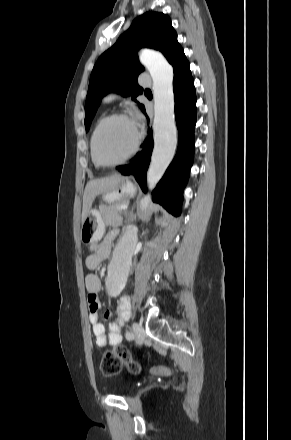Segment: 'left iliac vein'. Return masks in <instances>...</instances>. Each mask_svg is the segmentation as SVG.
Masks as SVG:
<instances>
[{"label":"left iliac vein","mask_w":291,"mask_h":440,"mask_svg":"<svg viewBox=\"0 0 291 440\" xmlns=\"http://www.w3.org/2000/svg\"><path fill=\"white\" fill-rule=\"evenodd\" d=\"M132 330L135 336V340L138 344H142L145 338V332L143 327L138 323H133Z\"/></svg>","instance_id":"4c4485c4"}]
</instances>
